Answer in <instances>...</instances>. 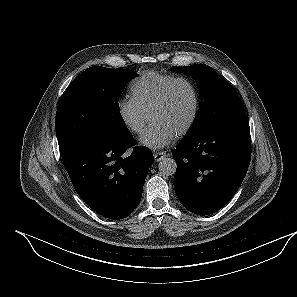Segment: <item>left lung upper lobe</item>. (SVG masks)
Segmentation results:
<instances>
[{"instance_id": "left-lung-upper-lobe-1", "label": "left lung upper lobe", "mask_w": 297, "mask_h": 297, "mask_svg": "<svg viewBox=\"0 0 297 297\" xmlns=\"http://www.w3.org/2000/svg\"><path fill=\"white\" fill-rule=\"evenodd\" d=\"M171 69L193 77L198 85L202 103L188 135L245 112L233 86L210 66L196 64L186 67L173 66Z\"/></svg>"}]
</instances>
